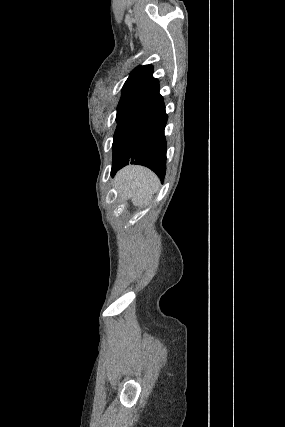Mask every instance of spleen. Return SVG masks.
Returning <instances> with one entry per match:
<instances>
[{
  "mask_svg": "<svg viewBox=\"0 0 285 427\" xmlns=\"http://www.w3.org/2000/svg\"><path fill=\"white\" fill-rule=\"evenodd\" d=\"M158 185V177L149 169L139 166L128 167L118 176V186L131 193L136 206L148 205Z\"/></svg>",
  "mask_w": 285,
  "mask_h": 427,
  "instance_id": "3e777b00",
  "label": "spleen"
}]
</instances>
